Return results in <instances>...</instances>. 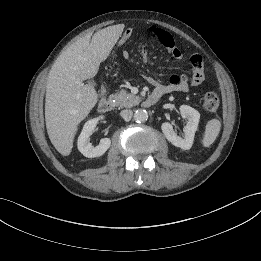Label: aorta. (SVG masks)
<instances>
[{"label": "aorta", "mask_w": 261, "mask_h": 261, "mask_svg": "<svg viewBox=\"0 0 261 261\" xmlns=\"http://www.w3.org/2000/svg\"><path fill=\"white\" fill-rule=\"evenodd\" d=\"M148 119V113L146 110L138 109L134 113V120L138 123H142L147 121Z\"/></svg>", "instance_id": "762f6f07"}]
</instances>
